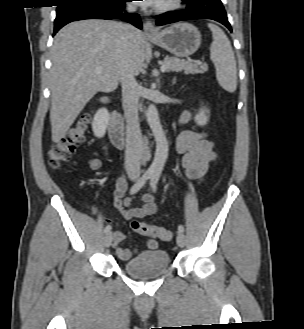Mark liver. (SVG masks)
I'll list each match as a JSON object with an SVG mask.
<instances>
[{
	"instance_id": "liver-1",
	"label": "liver",
	"mask_w": 304,
	"mask_h": 329,
	"mask_svg": "<svg viewBox=\"0 0 304 329\" xmlns=\"http://www.w3.org/2000/svg\"><path fill=\"white\" fill-rule=\"evenodd\" d=\"M120 23L82 20L69 23L55 36L51 48V133L57 143L65 137L87 102L99 91L117 88L120 64L126 58L133 75L144 65V35L133 27L125 48ZM100 68L101 72L96 69Z\"/></svg>"
}]
</instances>
